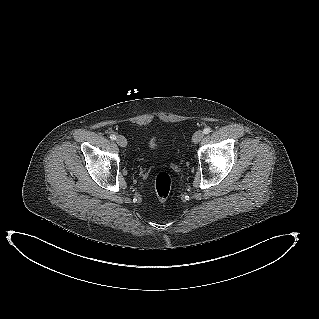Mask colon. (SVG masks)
<instances>
[{
  "instance_id": "5ec220e1",
  "label": "colon",
  "mask_w": 319,
  "mask_h": 319,
  "mask_svg": "<svg viewBox=\"0 0 319 319\" xmlns=\"http://www.w3.org/2000/svg\"><path fill=\"white\" fill-rule=\"evenodd\" d=\"M156 139L153 137L149 146L154 149L156 148ZM172 188V177L166 170H159L154 176V189L156 196L159 200H166L171 192Z\"/></svg>"
}]
</instances>
